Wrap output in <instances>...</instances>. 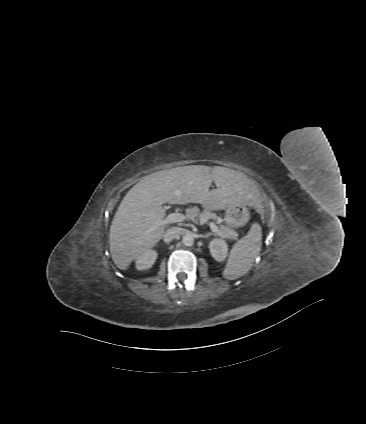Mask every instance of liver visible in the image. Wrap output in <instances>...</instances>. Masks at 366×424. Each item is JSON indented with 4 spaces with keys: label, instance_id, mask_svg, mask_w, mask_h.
I'll return each mask as SVG.
<instances>
[{
    "label": "liver",
    "instance_id": "obj_1",
    "mask_svg": "<svg viewBox=\"0 0 366 424\" xmlns=\"http://www.w3.org/2000/svg\"><path fill=\"white\" fill-rule=\"evenodd\" d=\"M212 181L216 189L210 190ZM254 183L241 172L192 165L162 170L144 177L121 201L110 226V253L115 265L127 270L131 262L164 236V203H199L206 210L244 204L263 212Z\"/></svg>",
    "mask_w": 366,
    "mask_h": 424
}]
</instances>
